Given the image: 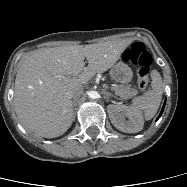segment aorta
<instances>
[{
	"instance_id": "1",
	"label": "aorta",
	"mask_w": 187,
	"mask_h": 187,
	"mask_svg": "<svg viewBox=\"0 0 187 187\" xmlns=\"http://www.w3.org/2000/svg\"><path fill=\"white\" fill-rule=\"evenodd\" d=\"M88 95H89V97H90L91 99H97V98L100 97V95H99V93H98L97 91H90V92L88 93Z\"/></svg>"
}]
</instances>
